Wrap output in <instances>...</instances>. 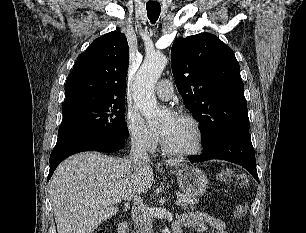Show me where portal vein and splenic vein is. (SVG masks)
<instances>
[{
  "label": "portal vein and splenic vein",
  "instance_id": "18ae733b",
  "mask_svg": "<svg viewBox=\"0 0 306 233\" xmlns=\"http://www.w3.org/2000/svg\"><path fill=\"white\" fill-rule=\"evenodd\" d=\"M110 203H119L120 202V200L119 199H112V200H108ZM182 203V200L181 199H178L177 201H176V205H180Z\"/></svg>",
  "mask_w": 306,
  "mask_h": 233
}]
</instances>
